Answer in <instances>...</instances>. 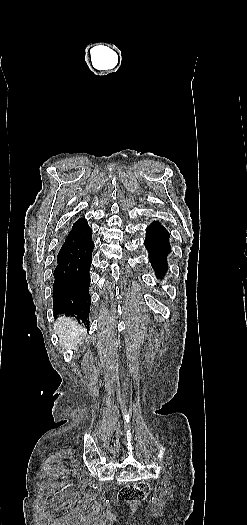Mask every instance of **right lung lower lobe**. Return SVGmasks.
Instances as JSON below:
<instances>
[{"mask_svg": "<svg viewBox=\"0 0 247 525\" xmlns=\"http://www.w3.org/2000/svg\"><path fill=\"white\" fill-rule=\"evenodd\" d=\"M94 248L88 224L70 232L57 256L54 270V315H70L89 324L91 253Z\"/></svg>", "mask_w": 247, "mask_h": 525, "instance_id": "right-lung-lower-lobe-1", "label": "right lung lower lobe"}]
</instances>
